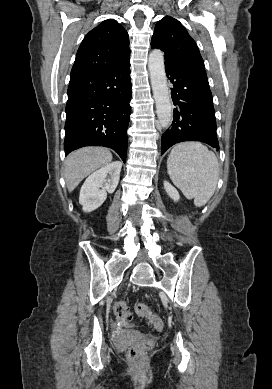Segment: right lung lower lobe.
<instances>
[{
	"label": "right lung lower lobe",
	"mask_w": 272,
	"mask_h": 389,
	"mask_svg": "<svg viewBox=\"0 0 272 389\" xmlns=\"http://www.w3.org/2000/svg\"><path fill=\"white\" fill-rule=\"evenodd\" d=\"M65 123V153L106 146L125 162L131 114L130 58L105 70L71 77Z\"/></svg>",
	"instance_id": "98d812e1"
}]
</instances>
